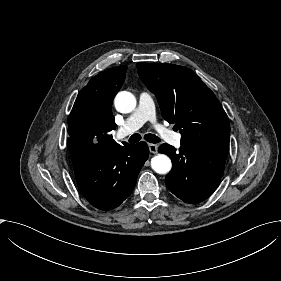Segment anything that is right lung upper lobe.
Wrapping results in <instances>:
<instances>
[{"instance_id": "1", "label": "right lung upper lobe", "mask_w": 281, "mask_h": 281, "mask_svg": "<svg viewBox=\"0 0 281 281\" xmlns=\"http://www.w3.org/2000/svg\"><path fill=\"white\" fill-rule=\"evenodd\" d=\"M127 66L105 70L80 91L68 118V147L115 146L112 101L125 80Z\"/></svg>"}]
</instances>
